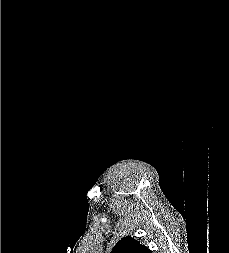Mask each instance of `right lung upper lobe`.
<instances>
[{"label":"right lung upper lobe","mask_w":229,"mask_h":253,"mask_svg":"<svg viewBox=\"0 0 229 253\" xmlns=\"http://www.w3.org/2000/svg\"><path fill=\"white\" fill-rule=\"evenodd\" d=\"M111 253H152L146 246L141 245L134 238H122L112 249Z\"/></svg>","instance_id":"obj_1"}]
</instances>
